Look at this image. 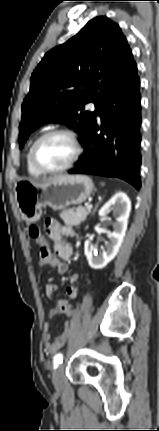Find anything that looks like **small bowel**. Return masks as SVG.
<instances>
[{
	"mask_svg": "<svg viewBox=\"0 0 159 431\" xmlns=\"http://www.w3.org/2000/svg\"><path fill=\"white\" fill-rule=\"evenodd\" d=\"M45 232L51 243L47 240L48 246L45 250H40L41 257L39 260L40 266H51L57 269L59 274H65L68 271V261L72 255L71 246L63 241V237H72L75 235V231L71 226L62 225L54 219H47L45 221ZM39 245V243L37 242ZM50 252V255H47ZM79 279L77 274H72L69 277V285L66 287V294L70 299H76L78 297V290L74 286ZM59 290V286L56 284H48L46 286V295L54 299L55 294ZM67 310H73L72 305L65 299H58L56 306L49 310L48 317L53 318L58 314H66ZM69 335V324L66 323L64 330L55 338H52L50 333V323L47 321L43 325V339L45 343V351L47 354H56L65 344Z\"/></svg>",
	"mask_w": 159,
	"mask_h": 431,
	"instance_id": "obj_1",
	"label": "small bowel"
}]
</instances>
